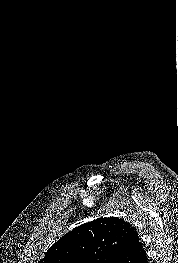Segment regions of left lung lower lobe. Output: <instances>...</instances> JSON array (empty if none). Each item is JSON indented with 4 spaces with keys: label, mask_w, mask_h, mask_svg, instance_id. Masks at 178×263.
Segmentation results:
<instances>
[{
    "label": "left lung lower lobe",
    "mask_w": 178,
    "mask_h": 263,
    "mask_svg": "<svg viewBox=\"0 0 178 263\" xmlns=\"http://www.w3.org/2000/svg\"><path fill=\"white\" fill-rule=\"evenodd\" d=\"M109 263H148L146 252L133 228H131L119 251Z\"/></svg>",
    "instance_id": "left-lung-lower-lobe-1"
}]
</instances>
